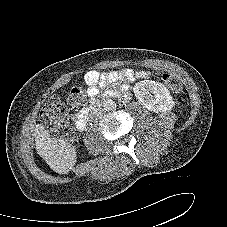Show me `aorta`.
Segmentation results:
<instances>
[{
    "label": "aorta",
    "instance_id": "obj_1",
    "mask_svg": "<svg viewBox=\"0 0 227 227\" xmlns=\"http://www.w3.org/2000/svg\"><path fill=\"white\" fill-rule=\"evenodd\" d=\"M103 106L105 110H112L116 107V103L112 99H106L103 103Z\"/></svg>",
    "mask_w": 227,
    "mask_h": 227
}]
</instances>
